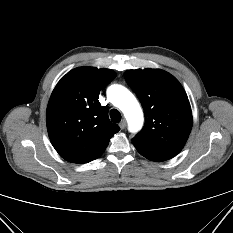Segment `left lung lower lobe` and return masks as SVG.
I'll list each match as a JSON object with an SVG mask.
<instances>
[{"mask_svg":"<svg viewBox=\"0 0 233 233\" xmlns=\"http://www.w3.org/2000/svg\"><path fill=\"white\" fill-rule=\"evenodd\" d=\"M138 152L151 161L161 162L176 156L180 151L151 149L133 144Z\"/></svg>","mask_w":233,"mask_h":233,"instance_id":"1","label":"left lung lower lobe"}]
</instances>
